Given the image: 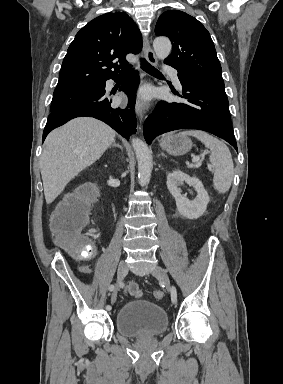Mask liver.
Listing matches in <instances>:
<instances>
[{
	"mask_svg": "<svg viewBox=\"0 0 283 384\" xmlns=\"http://www.w3.org/2000/svg\"><path fill=\"white\" fill-rule=\"evenodd\" d=\"M116 132L94 118H75L53 130L40 158L46 204H52L70 180L101 158Z\"/></svg>",
	"mask_w": 283,
	"mask_h": 384,
	"instance_id": "liver-1",
	"label": "liver"
}]
</instances>
